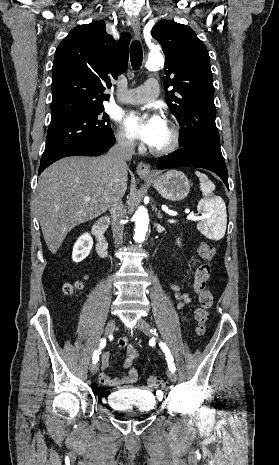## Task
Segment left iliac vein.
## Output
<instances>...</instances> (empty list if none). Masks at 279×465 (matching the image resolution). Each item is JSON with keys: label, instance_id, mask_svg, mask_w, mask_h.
<instances>
[{"label": "left iliac vein", "instance_id": "4c4485c4", "mask_svg": "<svg viewBox=\"0 0 279 465\" xmlns=\"http://www.w3.org/2000/svg\"><path fill=\"white\" fill-rule=\"evenodd\" d=\"M136 327L140 331L145 333L146 335H151V330H150L151 327H150L149 323L145 319H142V318L138 319V321L136 323ZM168 377L172 382H176V380H177V375L175 374V372L168 371Z\"/></svg>", "mask_w": 279, "mask_h": 465}]
</instances>
